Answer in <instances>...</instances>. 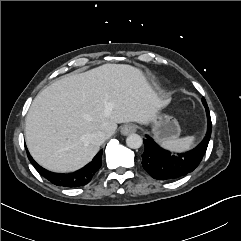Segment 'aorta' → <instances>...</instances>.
I'll return each mask as SVG.
<instances>
[{"label": "aorta", "instance_id": "1", "mask_svg": "<svg viewBox=\"0 0 241 241\" xmlns=\"http://www.w3.org/2000/svg\"><path fill=\"white\" fill-rule=\"evenodd\" d=\"M126 144L129 148L138 149L142 146L143 140L140 135L133 133L126 138Z\"/></svg>", "mask_w": 241, "mask_h": 241}]
</instances>
